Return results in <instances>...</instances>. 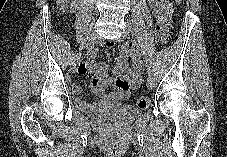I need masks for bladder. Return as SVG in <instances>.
<instances>
[{
	"instance_id": "bladder-1",
	"label": "bladder",
	"mask_w": 227,
	"mask_h": 157,
	"mask_svg": "<svg viewBox=\"0 0 227 157\" xmlns=\"http://www.w3.org/2000/svg\"><path fill=\"white\" fill-rule=\"evenodd\" d=\"M142 114V109L128 104H111L91 113V116L101 122L125 124Z\"/></svg>"
}]
</instances>
